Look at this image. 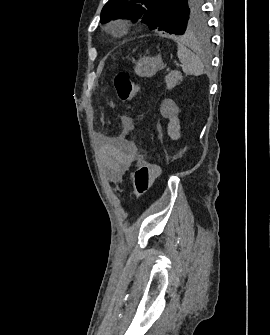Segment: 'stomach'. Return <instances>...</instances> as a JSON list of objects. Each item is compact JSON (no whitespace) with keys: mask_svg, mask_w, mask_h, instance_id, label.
I'll use <instances>...</instances> for the list:
<instances>
[{"mask_svg":"<svg viewBox=\"0 0 270 335\" xmlns=\"http://www.w3.org/2000/svg\"><path fill=\"white\" fill-rule=\"evenodd\" d=\"M164 64L162 62L161 56H155V58H149V56H144V58H140L135 62L134 72L137 76H141V78H151V76H155L158 70H162Z\"/></svg>","mask_w":270,"mask_h":335,"instance_id":"stomach-1","label":"stomach"}]
</instances>
